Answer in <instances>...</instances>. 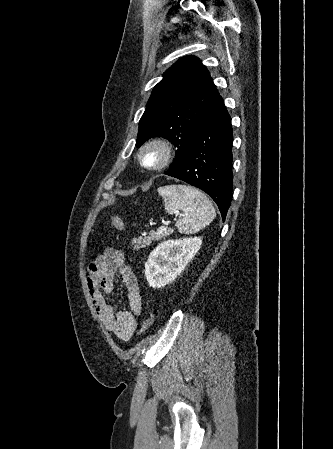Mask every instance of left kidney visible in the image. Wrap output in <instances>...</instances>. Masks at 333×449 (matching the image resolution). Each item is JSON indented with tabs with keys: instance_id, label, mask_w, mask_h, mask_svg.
<instances>
[{
	"instance_id": "1",
	"label": "left kidney",
	"mask_w": 333,
	"mask_h": 449,
	"mask_svg": "<svg viewBox=\"0 0 333 449\" xmlns=\"http://www.w3.org/2000/svg\"><path fill=\"white\" fill-rule=\"evenodd\" d=\"M202 245L200 237L167 240L160 243L145 263V276L153 288L172 282L196 255Z\"/></svg>"
}]
</instances>
